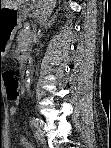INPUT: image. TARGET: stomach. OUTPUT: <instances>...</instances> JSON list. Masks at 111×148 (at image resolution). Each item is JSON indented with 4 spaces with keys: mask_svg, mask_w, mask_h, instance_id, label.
I'll list each match as a JSON object with an SVG mask.
<instances>
[{
    "mask_svg": "<svg viewBox=\"0 0 111 148\" xmlns=\"http://www.w3.org/2000/svg\"><path fill=\"white\" fill-rule=\"evenodd\" d=\"M20 8H0V55L4 56L11 47L16 31L21 27Z\"/></svg>",
    "mask_w": 111,
    "mask_h": 148,
    "instance_id": "stomach-1",
    "label": "stomach"
}]
</instances>
